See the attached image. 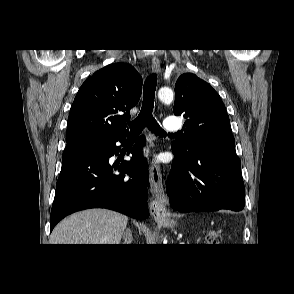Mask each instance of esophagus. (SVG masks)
Returning <instances> with one entry per match:
<instances>
[{
    "mask_svg": "<svg viewBox=\"0 0 294 294\" xmlns=\"http://www.w3.org/2000/svg\"><path fill=\"white\" fill-rule=\"evenodd\" d=\"M152 69L155 73H160L161 71L160 61L156 56L152 57ZM149 181L152 193L149 205L150 214L155 220H160L166 214L168 201L163 190L161 169L157 163H151Z\"/></svg>",
    "mask_w": 294,
    "mask_h": 294,
    "instance_id": "esophagus-1",
    "label": "esophagus"
}]
</instances>
